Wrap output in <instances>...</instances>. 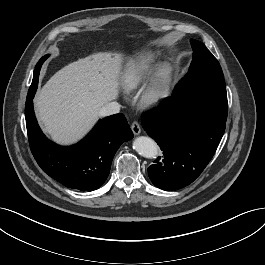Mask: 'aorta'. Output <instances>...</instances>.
<instances>
[{
  "instance_id": "obj_1",
  "label": "aorta",
  "mask_w": 265,
  "mask_h": 265,
  "mask_svg": "<svg viewBox=\"0 0 265 265\" xmlns=\"http://www.w3.org/2000/svg\"><path fill=\"white\" fill-rule=\"evenodd\" d=\"M133 148L145 158H155L158 154V145L156 142L145 136L137 137L133 142Z\"/></svg>"
}]
</instances>
